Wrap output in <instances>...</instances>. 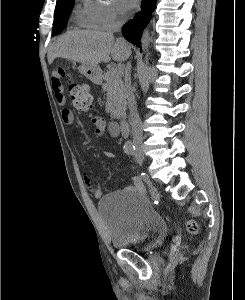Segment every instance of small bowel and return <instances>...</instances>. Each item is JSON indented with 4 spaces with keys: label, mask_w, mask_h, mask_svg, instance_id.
<instances>
[{
    "label": "small bowel",
    "mask_w": 245,
    "mask_h": 300,
    "mask_svg": "<svg viewBox=\"0 0 245 300\" xmlns=\"http://www.w3.org/2000/svg\"><path fill=\"white\" fill-rule=\"evenodd\" d=\"M52 89L54 91L55 99L60 106H64L66 103V98L64 95V88L62 84V79L55 72L52 76ZM61 116L63 122L68 126H73L75 123L74 114L68 108H63L61 111ZM91 120L95 126V134L97 137L103 136L105 131L107 130L109 134L113 137H117L119 135V127L114 122H106L102 117L98 115H91ZM103 155L108 158H115L116 154L110 151H104ZM85 182L91 191L93 198L99 199L102 195L100 186L95 184L94 179L86 172L84 173ZM133 185L129 187V190L137 191L142 193L144 191L143 182L140 176L135 175L132 178Z\"/></svg>",
    "instance_id": "obj_1"
}]
</instances>
